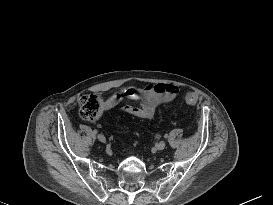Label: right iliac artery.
I'll use <instances>...</instances> for the list:
<instances>
[{
	"label": "right iliac artery",
	"instance_id": "1",
	"mask_svg": "<svg viewBox=\"0 0 273 205\" xmlns=\"http://www.w3.org/2000/svg\"><path fill=\"white\" fill-rule=\"evenodd\" d=\"M93 132H94L95 134H97V130H94Z\"/></svg>",
	"mask_w": 273,
	"mask_h": 205
}]
</instances>
